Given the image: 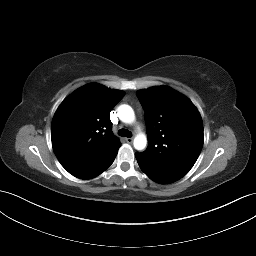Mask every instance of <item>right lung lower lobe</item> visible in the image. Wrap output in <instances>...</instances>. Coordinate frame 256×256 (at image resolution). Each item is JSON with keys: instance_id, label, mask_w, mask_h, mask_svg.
<instances>
[{"instance_id": "1", "label": "right lung lower lobe", "mask_w": 256, "mask_h": 256, "mask_svg": "<svg viewBox=\"0 0 256 256\" xmlns=\"http://www.w3.org/2000/svg\"><path fill=\"white\" fill-rule=\"evenodd\" d=\"M117 151L89 164L79 166L68 172L80 179H91L105 171L114 161Z\"/></svg>"}]
</instances>
